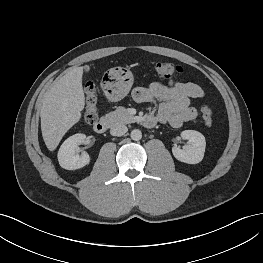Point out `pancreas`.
<instances>
[{"instance_id":"1","label":"pancreas","mask_w":263,"mask_h":263,"mask_svg":"<svg viewBox=\"0 0 263 263\" xmlns=\"http://www.w3.org/2000/svg\"><path fill=\"white\" fill-rule=\"evenodd\" d=\"M111 125L116 124H129L135 122V117L129 113L124 107H118L115 111H112L105 115Z\"/></svg>"}]
</instances>
